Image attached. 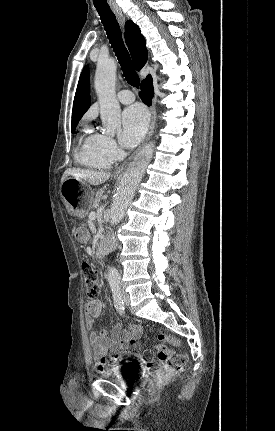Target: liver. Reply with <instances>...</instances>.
I'll return each mask as SVG.
<instances>
[{
    "label": "liver",
    "instance_id": "6515ba94",
    "mask_svg": "<svg viewBox=\"0 0 275 431\" xmlns=\"http://www.w3.org/2000/svg\"><path fill=\"white\" fill-rule=\"evenodd\" d=\"M69 176H72L76 179H81L88 182L91 185L97 186L104 183L111 176L109 172H97L90 170H81V169H67L62 178L61 183L66 180Z\"/></svg>",
    "mask_w": 275,
    "mask_h": 431
}]
</instances>
